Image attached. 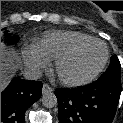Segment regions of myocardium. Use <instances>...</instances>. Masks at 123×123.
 <instances>
[{"instance_id": "f54148a6", "label": "myocardium", "mask_w": 123, "mask_h": 123, "mask_svg": "<svg viewBox=\"0 0 123 123\" xmlns=\"http://www.w3.org/2000/svg\"><path fill=\"white\" fill-rule=\"evenodd\" d=\"M91 43H98L103 46L104 48V57L100 63V65L89 75L81 78H73V77H68L63 74L62 72V67L63 65L70 60L78 51H80L83 47H85L88 44ZM109 58V52L107 49L106 44L95 38H90L84 41H81L75 45H73L71 48H69L67 51H65L63 54H61L54 62V73L62 84L66 86H81L88 84L92 82L94 79H96L100 73L103 71L105 68Z\"/></svg>"}]
</instances>
